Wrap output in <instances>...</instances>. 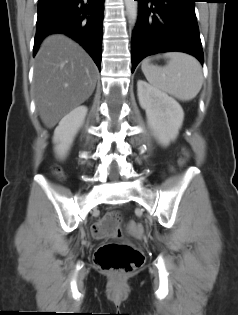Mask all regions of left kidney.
<instances>
[{
	"label": "left kidney",
	"mask_w": 238,
	"mask_h": 315,
	"mask_svg": "<svg viewBox=\"0 0 238 315\" xmlns=\"http://www.w3.org/2000/svg\"><path fill=\"white\" fill-rule=\"evenodd\" d=\"M140 106L145 110L148 124L158 140L165 146L178 136L184 112L180 104L166 93L147 82H137Z\"/></svg>",
	"instance_id": "left-kidney-1"
}]
</instances>
